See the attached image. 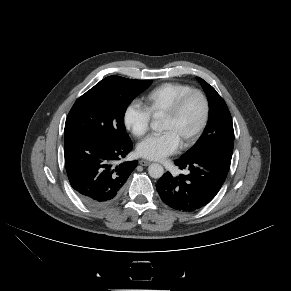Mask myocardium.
<instances>
[{"label":"myocardium","mask_w":291,"mask_h":291,"mask_svg":"<svg viewBox=\"0 0 291 291\" xmlns=\"http://www.w3.org/2000/svg\"><path fill=\"white\" fill-rule=\"evenodd\" d=\"M195 96L201 99L202 106H203L202 117L195 131L190 135L188 139H186L184 142L181 143V147L184 149L189 148L195 144V142L199 139V137L201 136V134L203 133V131L205 130L208 124L209 117H210V102L207 95L201 90L192 89L191 91L179 97L173 103V105L163 114L164 117H168V118L177 117L178 114L183 109V107L186 105V103Z\"/></svg>","instance_id":"obj_1"}]
</instances>
